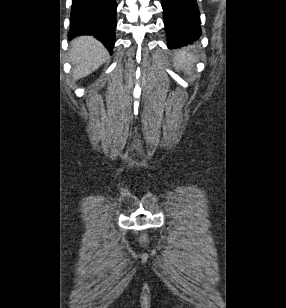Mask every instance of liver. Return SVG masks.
I'll return each mask as SVG.
<instances>
[{
  "mask_svg": "<svg viewBox=\"0 0 286 308\" xmlns=\"http://www.w3.org/2000/svg\"><path fill=\"white\" fill-rule=\"evenodd\" d=\"M104 46L95 38L82 36L73 40L70 61L74 79H81L98 69L108 59Z\"/></svg>",
  "mask_w": 286,
  "mask_h": 308,
  "instance_id": "obj_1",
  "label": "liver"
}]
</instances>
